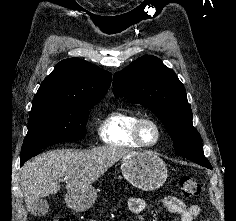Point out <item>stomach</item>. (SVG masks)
Masks as SVG:
<instances>
[{
    "mask_svg": "<svg viewBox=\"0 0 236 221\" xmlns=\"http://www.w3.org/2000/svg\"><path fill=\"white\" fill-rule=\"evenodd\" d=\"M121 172L134 187L143 191L160 188L167 178V168L163 160L151 151L132 152L123 157ZM97 197L94 187L68 191L65 201L73 210H88Z\"/></svg>",
    "mask_w": 236,
    "mask_h": 221,
    "instance_id": "1",
    "label": "stomach"
}]
</instances>
